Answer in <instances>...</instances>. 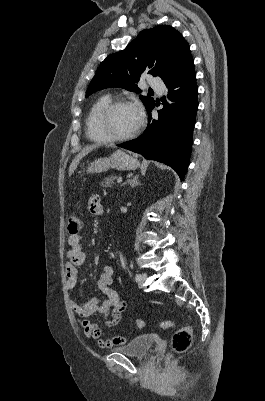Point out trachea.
Segmentation results:
<instances>
[{
	"label": "trachea",
	"instance_id": "3493384b",
	"mask_svg": "<svg viewBox=\"0 0 265 401\" xmlns=\"http://www.w3.org/2000/svg\"><path fill=\"white\" fill-rule=\"evenodd\" d=\"M149 93H154L153 90H149Z\"/></svg>",
	"mask_w": 265,
	"mask_h": 401
}]
</instances>
